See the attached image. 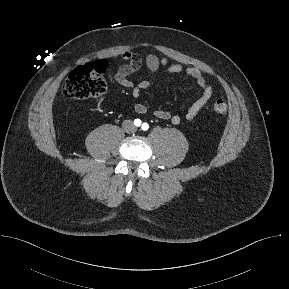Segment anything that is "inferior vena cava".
Segmentation results:
<instances>
[{
	"label": "inferior vena cava",
	"mask_w": 289,
	"mask_h": 289,
	"mask_svg": "<svg viewBox=\"0 0 289 289\" xmlns=\"http://www.w3.org/2000/svg\"><path fill=\"white\" fill-rule=\"evenodd\" d=\"M122 128L127 133L135 131V126H134V124H133V122L131 120H125L122 123Z\"/></svg>",
	"instance_id": "obj_1"
}]
</instances>
